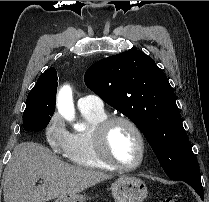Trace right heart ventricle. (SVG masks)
Listing matches in <instances>:
<instances>
[{
  "mask_svg": "<svg viewBox=\"0 0 209 202\" xmlns=\"http://www.w3.org/2000/svg\"><path fill=\"white\" fill-rule=\"evenodd\" d=\"M88 127L84 131L70 134L69 145L64 153L67 160L75 165L90 169H110L98 157L94 143L93 131L98 124L107 118L106 113L95 110H80Z\"/></svg>",
  "mask_w": 209,
  "mask_h": 202,
  "instance_id": "right-heart-ventricle-1",
  "label": "right heart ventricle"
}]
</instances>
